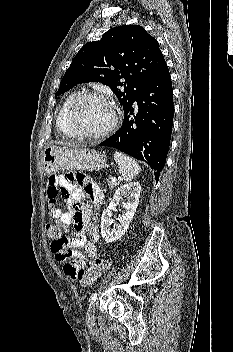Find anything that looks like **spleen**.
Masks as SVG:
<instances>
[{"instance_id":"3e777b00","label":"spleen","mask_w":233,"mask_h":352,"mask_svg":"<svg viewBox=\"0 0 233 352\" xmlns=\"http://www.w3.org/2000/svg\"><path fill=\"white\" fill-rule=\"evenodd\" d=\"M119 171L125 181L129 182L140 172L141 168L138 163L131 157L116 151L114 154Z\"/></svg>"}]
</instances>
